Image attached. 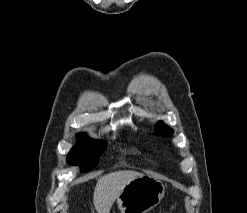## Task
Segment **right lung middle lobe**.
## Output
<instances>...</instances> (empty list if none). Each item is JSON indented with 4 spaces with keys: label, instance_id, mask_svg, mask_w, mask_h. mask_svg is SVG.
<instances>
[{
    "label": "right lung middle lobe",
    "instance_id": "1",
    "mask_svg": "<svg viewBox=\"0 0 247 213\" xmlns=\"http://www.w3.org/2000/svg\"><path fill=\"white\" fill-rule=\"evenodd\" d=\"M78 139L79 141L71 150L67 161L73 165L81 164V171L85 172L98 164L99 157L107 144L103 141L88 140L86 137Z\"/></svg>",
    "mask_w": 247,
    "mask_h": 213
}]
</instances>
